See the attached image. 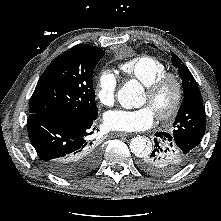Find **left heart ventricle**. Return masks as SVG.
Masks as SVG:
<instances>
[{
  "mask_svg": "<svg viewBox=\"0 0 221 221\" xmlns=\"http://www.w3.org/2000/svg\"><path fill=\"white\" fill-rule=\"evenodd\" d=\"M174 98V88L168 85L162 92L155 98H151L146 92L142 98V104L149 106L155 114L166 110L172 103Z\"/></svg>",
  "mask_w": 221,
  "mask_h": 221,
  "instance_id": "1",
  "label": "left heart ventricle"
}]
</instances>
